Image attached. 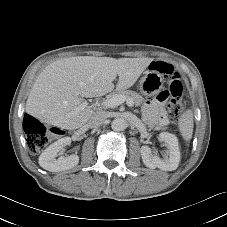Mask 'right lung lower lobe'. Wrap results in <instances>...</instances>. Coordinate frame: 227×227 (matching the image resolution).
I'll return each instance as SVG.
<instances>
[{"label":"right lung lower lobe","instance_id":"right-lung-lower-lobe-1","mask_svg":"<svg viewBox=\"0 0 227 227\" xmlns=\"http://www.w3.org/2000/svg\"><path fill=\"white\" fill-rule=\"evenodd\" d=\"M30 117L28 114H25V117H24V121H26V119Z\"/></svg>","mask_w":227,"mask_h":227}]
</instances>
